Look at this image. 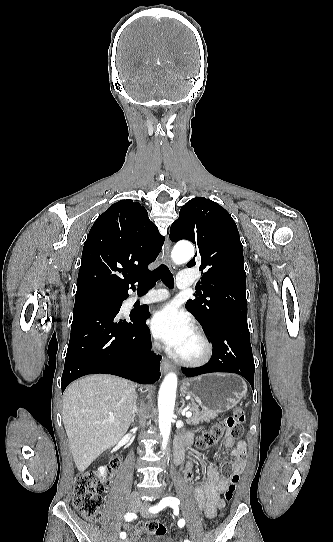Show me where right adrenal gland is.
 Segmentation results:
<instances>
[{"mask_svg":"<svg viewBox=\"0 0 333 542\" xmlns=\"http://www.w3.org/2000/svg\"><path fill=\"white\" fill-rule=\"evenodd\" d=\"M137 406H138V404H136V402H134V406H133V410H132V418H131L132 424H134L135 414H137Z\"/></svg>","mask_w":333,"mask_h":542,"instance_id":"2a0ac1e0","label":"right adrenal gland"}]
</instances>
